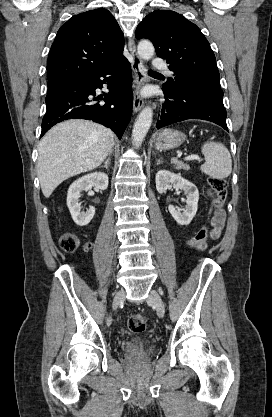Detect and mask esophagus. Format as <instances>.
<instances>
[{
    "mask_svg": "<svg viewBox=\"0 0 272 417\" xmlns=\"http://www.w3.org/2000/svg\"><path fill=\"white\" fill-rule=\"evenodd\" d=\"M128 48L133 59L132 69L135 74V91H134V100H133V111L138 112L144 106V100L139 95V88L147 80V75L145 72L143 61L137 54L136 46H135V42L133 38L129 39Z\"/></svg>",
    "mask_w": 272,
    "mask_h": 417,
    "instance_id": "esophagus-1",
    "label": "esophagus"
}]
</instances>
